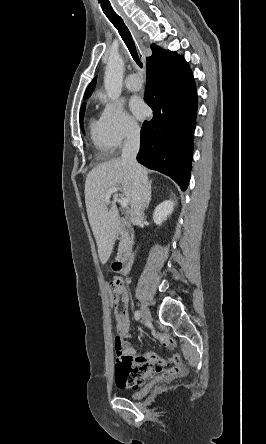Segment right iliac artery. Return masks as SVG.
Returning <instances> with one entry per match:
<instances>
[{
    "label": "right iliac artery",
    "instance_id": "1",
    "mask_svg": "<svg viewBox=\"0 0 266 444\" xmlns=\"http://www.w3.org/2000/svg\"><path fill=\"white\" fill-rule=\"evenodd\" d=\"M134 316H135V320L138 321L140 319V312L138 310L135 311Z\"/></svg>",
    "mask_w": 266,
    "mask_h": 444
}]
</instances>
